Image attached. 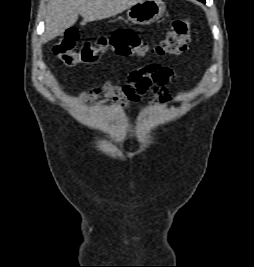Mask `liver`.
Returning a JSON list of instances; mask_svg holds the SVG:
<instances>
[{
    "instance_id": "6515ba94",
    "label": "liver",
    "mask_w": 254,
    "mask_h": 267,
    "mask_svg": "<svg viewBox=\"0 0 254 267\" xmlns=\"http://www.w3.org/2000/svg\"><path fill=\"white\" fill-rule=\"evenodd\" d=\"M142 0H50L42 42L61 35L83 17V24L122 13Z\"/></svg>"
}]
</instances>
